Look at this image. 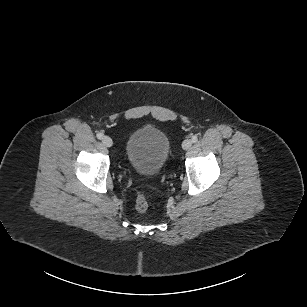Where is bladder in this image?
I'll use <instances>...</instances> for the list:
<instances>
[{
  "instance_id": "obj_1",
  "label": "bladder",
  "mask_w": 307,
  "mask_h": 307,
  "mask_svg": "<svg viewBox=\"0 0 307 307\" xmlns=\"http://www.w3.org/2000/svg\"><path fill=\"white\" fill-rule=\"evenodd\" d=\"M170 153V142L160 129L146 125L130 133L125 145V157L138 174L155 176L165 166Z\"/></svg>"
}]
</instances>
